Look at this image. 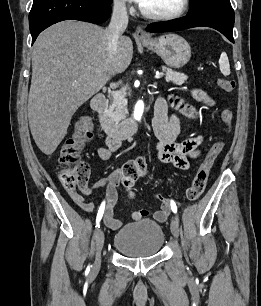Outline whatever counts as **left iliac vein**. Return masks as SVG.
Masks as SVG:
<instances>
[{
	"label": "left iliac vein",
	"instance_id": "left-iliac-vein-1",
	"mask_svg": "<svg viewBox=\"0 0 261 306\" xmlns=\"http://www.w3.org/2000/svg\"><path fill=\"white\" fill-rule=\"evenodd\" d=\"M171 232L175 238H178L180 228H179V219L177 216H174L172 221H171Z\"/></svg>",
	"mask_w": 261,
	"mask_h": 306
}]
</instances>
